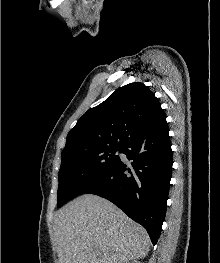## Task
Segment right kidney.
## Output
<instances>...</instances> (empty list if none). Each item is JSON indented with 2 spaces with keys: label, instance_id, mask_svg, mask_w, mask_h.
Wrapping results in <instances>:
<instances>
[{
  "label": "right kidney",
  "instance_id": "1",
  "mask_svg": "<svg viewBox=\"0 0 220 263\" xmlns=\"http://www.w3.org/2000/svg\"><path fill=\"white\" fill-rule=\"evenodd\" d=\"M128 263H141L140 261L134 260L132 262H128Z\"/></svg>",
  "mask_w": 220,
  "mask_h": 263
}]
</instances>
